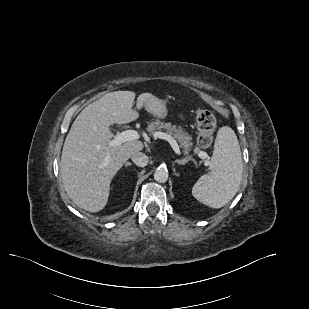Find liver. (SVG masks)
<instances>
[{
  "instance_id": "1",
  "label": "liver",
  "mask_w": 309,
  "mask_h": 309,
  "mask_svg": "<svg viewBox=\"0 0 309 309\" xmlns=\"http://www.w3.org/2000/svg\"><path fill=\"white\" fill-rule=\"evenodd\" d=\"M135 96L132 91L105 94L81 111L65 139L60 162L63 186L69 198L86 211L98 212L106 206L113 177L133 153L143 149L138 140L109 145L110 125L139 117L132 109ZM152 98L151 93L140 94L137 109Z\"/></svg>"
}]
</instances>
